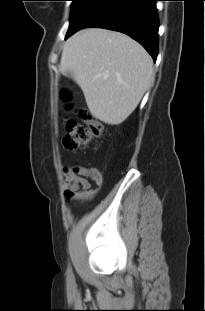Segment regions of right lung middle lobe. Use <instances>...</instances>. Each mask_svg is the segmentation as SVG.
Listing matches in <instances>:
<instances>
[{"mask_svg": "<svg viewBox=\"0 0 205 311\" xmlns=\"http://www.w3.org/2000/svg\"><path fill=\"white\" fill-rule=\"evenodd\" d=\"M71 1L73 2L71 6L70 25L68 31L72 29L73 25L75 24V22L77 21V19L83 12L85 6L90 0H71Z\"/></svg>", "mask_w": 205, "mask_h": 311, "instance_id": "right-lung-middle-lobe-1", "label": "right lung middle lobe"}]
</instances>
